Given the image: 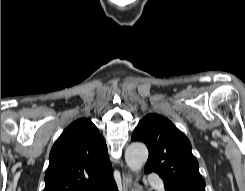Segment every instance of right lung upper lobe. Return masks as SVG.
<instances>
[{
    "instance_id": "obj_1",
    "label": "right lung upper lobe",
    "mask_w": 245,
    "mask_h": 191,
    "mask_svg": "<svg viewBox=\"0 0 245 191\" xmlns=\"http://www.w3.org/2000/svg\"><path fill=\"white\" fill-rule=\"evenodd\" d=\"M112 178L104 138L90 120L81 118L53 145L44 191H88Z\"/></svg>"
}]
</instances>
